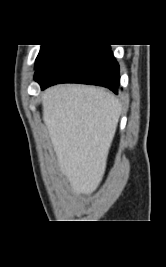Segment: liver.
<instances>
[{
  "mask_svg": "<svg viewBox=\"0 0 166 267\" xmlns=\"http://www.w3.org/2000/svg\"><path fill=\"white\" fill-rule=\"evenodd\" d=\"M47 126L61 172L76 195L101 183L119 117V101L104 89L58 85L43 94Z\"/></svg>",
  "mask_w": 166,
  "mask_h": 267,
  "instance_id": "obj_1",
  "label": "liver"
}]
</instances>
